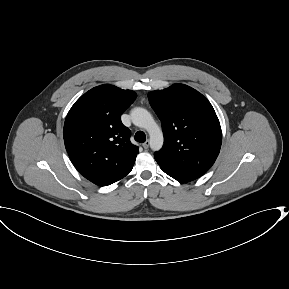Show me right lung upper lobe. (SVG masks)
Listing matches in <instances>:
<instances>
[{
    "instance_id": "1",
    "label": "right lung upper lobe",
    "mask_w": 289,
    "mask_h": 289,
    "mask_svg": "<svg viewBox=\"0 0 289 289\" xmlns=\"http://www.w3.org/2000/svg\"><path fill=\"white\" fill-rule=\"evenodd\" d=\"M135 98L132 90L104 84L81 96L67 114L63 136L68 155L96 185L115 183L133 168L139 150L120 116Z\"/></svg>"
}]
</instances>
